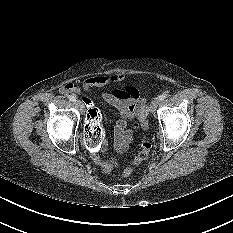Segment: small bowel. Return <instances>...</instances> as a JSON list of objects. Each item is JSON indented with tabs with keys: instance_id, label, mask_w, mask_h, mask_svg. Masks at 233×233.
Segmentation results:
<instances>
[{
	"instance_id": "small-bowel-1",
	"label": "small bowel",
	"mask_w": 233,
	"mask_h": 233,
	"mask_svg": "<svg viewBox=\"0 0 233 233\" xmlns=\"http://www.w3.org/2000/svg\"><path fill=\"white\" fill-rule=\"evenodd\" d=\"M123 79L124 76L121 74L94 76L87 78L81 86L72 83L64 85L61 88V93L83 94L89 92L92 88L120 83ZM102 98L116 108L119 113V119L116 121L114 128L113 147L117 152L123 153L127 150L133 133L138 129L141 121L146 118L147 107L145 99L139 90L133 86H124L111 92H104ZM83 102L88 109L93 107L88 97L83 96ZM129 120L136 121L133 124H129ZM102 144V148L96 154H93V161L104 173H110L117 168L118 163L112 159H104L99 155V152L105 151L107 148V142L104 137Z\"/></svg>"
}]
</instances>
